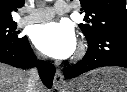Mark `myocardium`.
<instances>
[{
	"mask_svg": "<svg viewBox=\"0 0 127 92\" xmlns=\"http://www.w3.org/2000/svg\"><path fill=\"white\" fill-rule=\"evenodd\" d=\"M85 51V45L84 44H80L78 51H77V57H80Z\"/></svg>",
	"mask_w": 127,
	"mask_h": 92,
	"instance_id": "f54148a6",
	"label": "myocardium"
}]
</instances>
